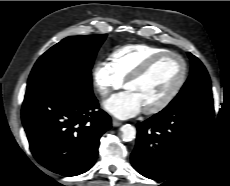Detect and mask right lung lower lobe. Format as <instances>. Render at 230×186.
<instances>
[{
    "mask_svg": "<svg viewBox=\"0 0 230 186\" xmlns=\"http://www.w3.org/2000/svg\"><path fill=\"white\" fill-rule=\"evenodd\" d=\"M98 107L92 92L63 85L27 92L22 122L35 159L67 177L88 171L95 164L100 137L111 128L109 115Z\"/></svg>",
    "mask_w": 230,
    "mask_h": 186,
    "instance_id": "obj_1",
    "label": "right lung lower lobe"
}]
</instances>
